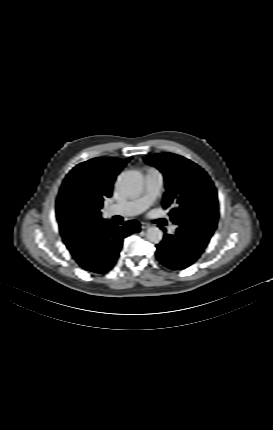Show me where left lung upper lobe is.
Returning a JSON list of instances; mask_svg holds the SVG:
<instances>
[{
  "label": "left lung upper lobe",
  "mask_w": 273,
  "mask_h": 430,
  "mask_svg": "<svg viewBox=\"0 0 273 430\" xmlns=\"http://www.w3.org/2000/svg\"><path fill=\"white\" fill-rule=\"evenodd\" d=\"M144 160L165 177L163 207L179 231L205 248L219 217L217 192L207 173L194 162L173 153L153 154Z\"/></svg>",
  "instance_id": "obj_1"
}]
</instances>
